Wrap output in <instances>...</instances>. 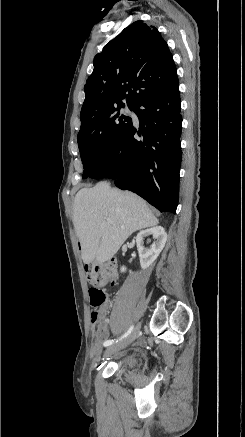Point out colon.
<instances>
[{"mask_svg":"<svg viewBox=\"0 0 245 437\" xmlns=\"http://www.w3.org/2000/svg\"><path fill=\"white\" fill-rule=\"evenodd\" d=\"M86 274L91 285L89 289L90 304L94 308L91 312V319L94 323H97L101 318L100 310L106 301L103 288L116 283L117 263L115 260H110L101 264H89L86 267ZM103 333L104 329L100 325L95 334L101 336Z\"/></svg>","mask_w":245,"mask_h":437,"instance_id":"colon-1","label":"colon"}]
</instances>
